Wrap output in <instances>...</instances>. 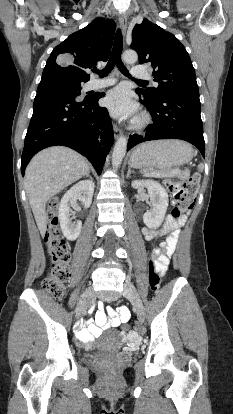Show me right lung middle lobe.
I'll return each mask as SVG.
<instances>
[{"label":"right lung middle lobe","mask_w":233,"mask_h":414,"mask_svg":"<svg viewBox=\"0 0 233 414\" xmlns=\"http://www.w3.org/2000/svg\"><path fill=\"white\" fill-rule=\"evenodd\" d=\"M83 82L60 78V77H47L41 78L37 93H53L58 96H66L76 98L81 95V86ZM87 95L85 98H88Z\"/></svg>","instance_id":"1"}]
</instances>
